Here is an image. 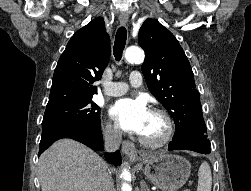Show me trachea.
<instances>
[{
  "instance_id": "1",
  "label": "trachea",
  "mask_w": 251,
  "mask_h": 191,
  "mask_svg": "<svg viewBox=\"0 0 251 191\" xmlns=\"http://www.w3.org/2000/svg\"><path fill=\"white\" fill-rule=\"evenodd\" d=\"M127 31L125 27H120L117 30L114 41V56L116 60H121L123 50L126 46Z\"/></svg>"
}]
</instances>
